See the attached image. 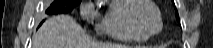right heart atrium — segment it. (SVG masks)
I'll use <instances>...</instances> for the list:
<instances>
[{"instance_id": "obj_1", "label": "right heart atrium", "mask_w": 213, "mask_h": 48, "mask_svg": "<svg viewBox=\"0 0 213 48\" xmlns=\"http://www.w3.org/2000/svg\"><path fill=\"white\" fill-rule=\"evenodd\" d=\"M80 14L83 20L89 22L97 18L98 11L93 2H86L81 6Z\"/></svg>"}]
</instances>
